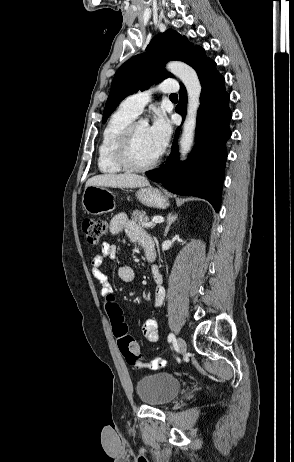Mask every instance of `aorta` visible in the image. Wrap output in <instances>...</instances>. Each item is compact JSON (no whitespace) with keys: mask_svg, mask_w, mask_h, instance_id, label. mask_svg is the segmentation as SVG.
Here are the masks:
<instances>
[{"mask_svg":"<svg viewBox=\"0 0 294 462\" xmlns=\"http://www.w3.org/2000/svg\"><path fill=\"white\" fill-rule=\"evenodd\" d=\"M166 67L183 82L188 94L187 115L180 139L181 159H185L194 141L197 111L200 105L202 88L196 71L189 65L179 61H172Z\"/></svg>","mask_w":294,"mask_h":462,"instance_id":"1","label":"aorta"}]
</instances>
